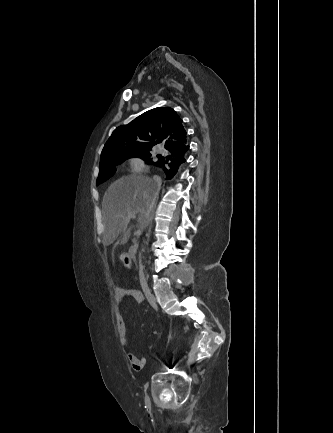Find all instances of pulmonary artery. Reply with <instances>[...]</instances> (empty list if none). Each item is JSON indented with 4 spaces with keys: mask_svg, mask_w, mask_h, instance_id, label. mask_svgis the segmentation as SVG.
Instances as JSON below:
<instances>
[{
    "mask_svg": "<svg viewBox=\"0 0 333 433\" xmlns=\"http://www.w3.org/2000/svg\"><path fill=\"white\" fill-rule=\"evenodd\" d=\"M160 152H164V150L161 148L160 150H159Z\"/></svg>",
    "mask_w": 333,
    "mask_h": 433,
    "instance_id": "obj_1",
    "label": "pulmonary artery"
}]
</instances>
